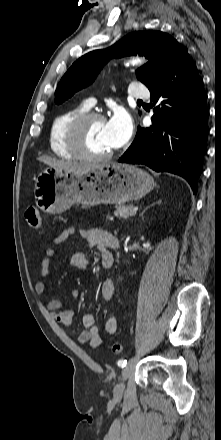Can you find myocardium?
Returning a JSON list of instances; mask_svg holds the SVG:
<instances>
[{"instance_id":"f54148a6","label":"myocardium","mask_w":221,"mask_h":440,"mask_svg":"<svg viewBox=\"0 0 221 440\" xmlns=\"http://www.w3.org/2000/svg\"><path fill=\"white\" fill-rule=\"evenodd\" d=\"M94 120L106 121V118L102 113L93 111H87L77 116L67 129L68 146L77 158L83 160L103 161L110 159L114 155V150L104 154H94L86 146V128Z\"/></svg>"}]
</instances>
